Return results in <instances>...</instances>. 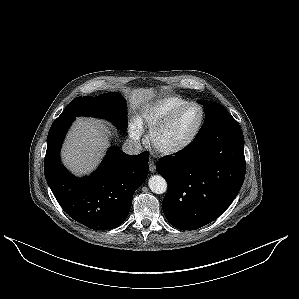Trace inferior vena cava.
<instances>
[{
    "instance_id": "obj_1",
    "label": "inferior vena cava",
    "mask_w": 299,
    "mask_h": 299,
    "mask_svg": "<svg viewBox=\"0 0 299 299\" xmlns=\"http://www.w3.org/2000/svg\"><path fill=\"white\" fill-rule=\"evenodd\" d=\"M122 150L129 155H138L142 151V146L138 141L127 140L123 144Z\"/></svg>"
}]
</instances>
